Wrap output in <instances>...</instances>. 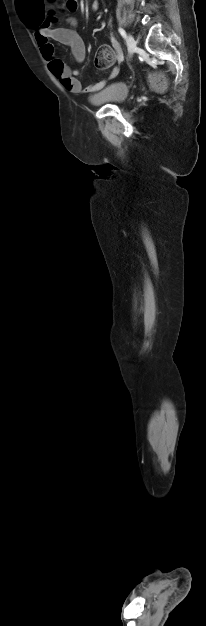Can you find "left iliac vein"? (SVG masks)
<instances>
[{
    "mask_svg": "<svg viewBox=\"0 0 206 626\" xmlns=\"http://www.w3.org/2000/svg\"><path fill=\"white\" fill-rule=\"evenodd\" d=\"M126 41H127L128 51L131 56L136 51V41L133 38V36L130 34L127 35Z\"/></svg>",
    "mask_w": 206,
    "mask_h": 626,
    "instance_id": "left-iliac-vein-1",
    "label": "left iliac vein"
}]
</instances>
